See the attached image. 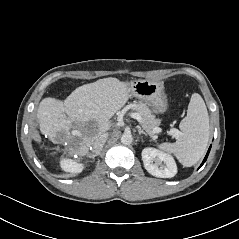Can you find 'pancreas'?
Wrapping results in <instances>:
<instances>
[{"instance_id":"pancreas-1","label":"pancreas","mask_w":239,"mask_h":239,"mask_svg":"<svg viewBox=\"0 0 239 239\" xmlns=\"http://www.w3.org/2000/svg\"><path fill=\"white\" fill-rule=\"evenodd\" d=\"M131 109L138 112L142 117V127L152 136L153 130L158 128L161 123V120L156 118L152 110L142 102L134 103L131 106Z\"/></svg>"}]
</instances>
